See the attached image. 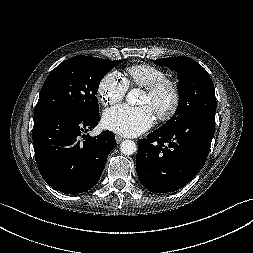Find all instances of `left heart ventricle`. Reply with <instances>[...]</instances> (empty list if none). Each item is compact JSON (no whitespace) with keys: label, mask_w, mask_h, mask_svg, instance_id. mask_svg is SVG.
Returning a JSON list of instances; mask_svg holds the SVG:
<instances>
[{"label":"left heart ventricle","mask_w":253,"mask_h":253,"mask_svg":"<svg viewBox=\"0 0 253 253\" xmlns=\"http://www.w3.org/2000/svg\"><path fill=\"white\" fill-rule=\"evenodd\" d=\"M164 103H165V100H162L161 104H164ZM141 104H143V105H149L154 110V112H155L156 106H155L153 100L150 98V96L146 92L143 95Z\"/></svg>","instance_id":"1"}]
</instances>
